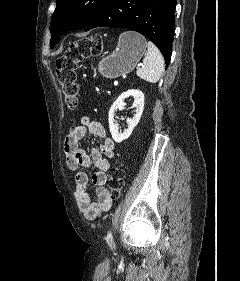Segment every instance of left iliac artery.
<instances>
[{
    "instance_id": "obj_1",
    "label": "left iliac artery",
    "mask_w": 240,
    "mask_h": 281,
    "mask_svg": "<svg viewBox=\"0 0 240 281\" xmlns=\"http://www.w3.org/2000/svg\"><path fill=\"white\" fill-rule=\"evenodd\" d=\"M107 237H108L109 240H111V242H112V234H111V232L108 233Z\"/></svg>"
}]
</instances>
